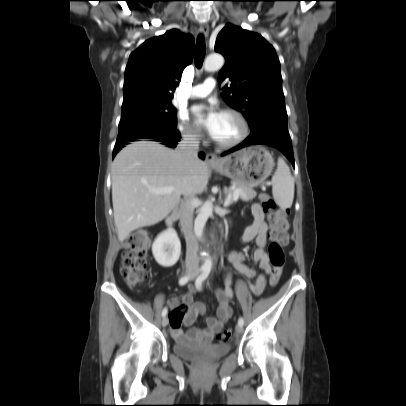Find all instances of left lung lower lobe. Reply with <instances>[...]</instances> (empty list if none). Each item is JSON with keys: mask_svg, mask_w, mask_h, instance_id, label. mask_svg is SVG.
Listing matches in <instances>:
<instances>
[{"mask_svg": "<svg viewBox=\"0 0 406 406\" xmlns=\"http://www.w3.org/2000/svg\"><path fill=\"white\" fill-rule=\"evenodd\" d=\"M250 145H270L280 150L291 161L294 166V156L292 142L289 133H281L277 131H262L250 136L236 147L224 152L222 156L230 154L234 151Z\"/></svg>", "mask_w": 406, "mask_h": 406, "instance_id": "left-lung-lower-lobe-1", "label": "left lung lower lobe"}]
</instances>
